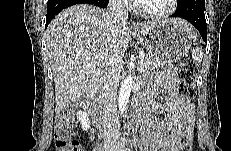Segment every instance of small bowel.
<instances>
[{
	"mask_svg": "<svg viewBox=\"0 0 231 151\" xmlns=\"http://www.w3.org/2000/svg\"><path fill=\"white\" fill-rule=\"evenodd\" d=\"M178 83L174 71L164 73L145 92L140 130L142 142L151 151H178L182 140H192L194 108L176 91ZM157 91L164 94L161 102L153 101ZM150 112L166 114L164 119L150 117Z\"/></svg>",
	"mask_w": 231,
	"mask_h": 151,
	"instance_id": "c3829d8e",
	"label": "small bowel"
}]
</instances>
